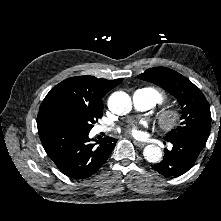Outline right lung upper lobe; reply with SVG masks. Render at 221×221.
<instances>
[{
  "mask_svg": "<svg viewBox=\"0 0 221 221\" xmlns=\"http://www.w3.org/2000/svg\"><path fill=\"white\" fill-rule=\"evenodd\" d=\"M122 81L123 79L78 76L60 82L44 98L37 116V125L57 124L61 117L83 112L102 115L103 96Z\"/></svg>",
  "mask_w": 221,
  "mask_h": 221,
  "instance_id": "right-lung-upper-lobe-1",
  "label": "right lung upper lobe"
}]
</instances>
